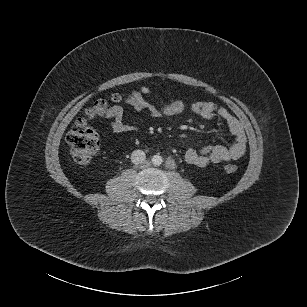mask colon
<instances>
[{
  "label": "colon",
  "instance_id": "1",
  "mask_svg": "<svg viewBox=\"0 0 307 307\" xmlns=\"http://www.w3.org/2000/svg\"><path fill=\"white\" fill-rule=\"evenodd\" d=\"M125 97L114 95L110 101L98 100L85 111V119L78 120L69 130L66 140L70 146L73 159L82 165L88 164L100 151L101 140L99 132L89 124L97 116H103L110 107L118 105ZM227 173H235L237 166L227 164Z\"/></svg>",
  "mask_w": 307,
  "mask_h": 307
}]
</instances>
